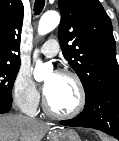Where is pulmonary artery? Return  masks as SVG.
Wrapping results in <instances>:
<instances>
[{
  "instance_id": "e3ab8cb5",
  "label": "pulmonary artery",
  "mask_w": 119,
  "mask_h": 141,
  "mask_svg": "<svg viewBox=\"0 0 119 141\" xmlns=\"http://www.w3.org/2000/svg\"><path fill=\"white\" fill-rule=\"evenodd\" d=\"M40 52L48 57H54L59 52V43L56 39H48L40 48Z\"/></svg>"
}]
</instances>
